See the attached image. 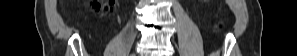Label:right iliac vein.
Returning a JSON list of instances; mask_svg holds the SVG:
<instances>
[{
    "instance_id": "1",
    "label": "right iliac vein",
    "mask_w": 297,
    "mask_h": 56,
    "mask_svg": "<svg viewBox=\"0 0 297 56\" xmlns=\"http://www.w3.org/2000/svg\"><path fill=\"white\" fill-rule=\"evenodd\" d=\"M130 56H135V54L133 53V54H131Z\"/></svg>"
}]
</instances>
